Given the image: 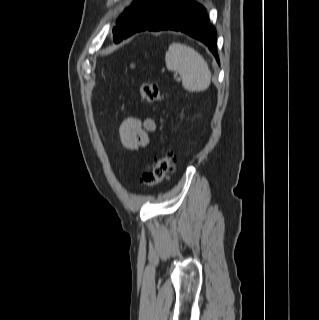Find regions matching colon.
Instances as JSON below:
<instances>
[{
	"mask_svg": "<svg viewBox=\"0 0 319 320\" xmlns=\"http://www.w3.org/2000/svg\"><path fill=\"white\" fill-rule=\"evenodd\" d=\"M142 100L155 103L165 99L157 83L151 79L144 80L139 88ZM175 169L173 157L165 154L156 157L142 175V183L146 186H155L167 179Z\"/></svg>",
	"mask_w": 319,
	"mask_h": 320,
	"instance_id": "5ec220e1",
	"label": "colon"
}]
</instances>
